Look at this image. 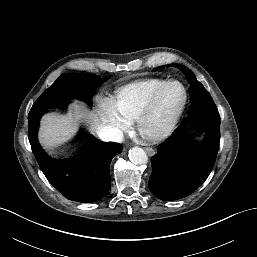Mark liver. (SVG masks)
Listing matches in <instances>:
<instances>
[{
    "label": "liver",
    "instance_id": "obj_1",
    "mask_svg": "<svg viewBox=\"0 0 257 257\" xmlns=\"http://www.w3.org/2000/svg\"><path fill=\"white\" fill-rule=\"evenodd\" d=\"M75 131L70 118L58 113H48L41 121L40 141L47 147H55L65 142Z\"/></svg>",
    "mask_w": 257,
    "mask_h": 257
}]
</instances>
